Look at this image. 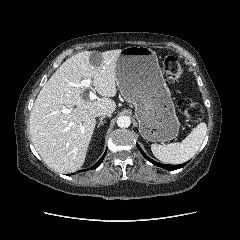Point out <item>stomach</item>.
<instances>
[{
  "label": "stomach",
  "instance_id": "1",
  "mask_svg": "<svg viewBox=\"0 0 240 240\" xmlns=\"http://www.w3.org/2000/svg\"><path fill=\"white\" fill-rule=\"evenodd\" d=\"M115 72L119 91L135 107L141 136L151 142L176 138L180 123L156 53L144 46L126 47Z\"/></svg>",
  "mask_w": 240,
  "mask_h": 240
}]
</instances>
